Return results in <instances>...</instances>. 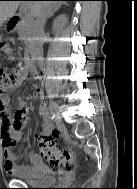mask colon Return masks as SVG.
<instances>
[{
	"instance_id": "obj_1",
	"label": "colon",
	"mask_w": 137,
	"mask_h": 189,
	"mask_svg": "<svg viewBox=\"0 0 137 189\" xmlns=\"http://www.w3.org/2000/svg\"><path fill=\"white\" fill-rule=\"evenodd\" d=\"M0 48L9 56L15 58L16 54L5 43L0 42ZM18 80V74L0 69V98L5 97L13 90ZM13 129H22V120L17 119L12 124ZM60 133L58 130L43 135L39 141L41 154L47 164L57 171L70 172L72 170V151L69 147L59 145Z\"/></svg>"
}]
</instances>
